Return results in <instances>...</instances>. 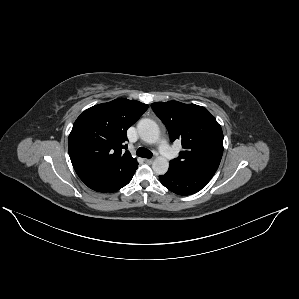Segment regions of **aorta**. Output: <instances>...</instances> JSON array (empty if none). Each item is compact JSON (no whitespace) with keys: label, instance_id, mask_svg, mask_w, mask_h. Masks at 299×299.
I'll list each match as a JSON object with an SVG mask.
<instances>
[{"label":"aorta","instance_id":"aorta-1","mask_svg":"<svg viewBox=\"0 0 299 299\" xmlns=\"http://www.w3.org/2000/svg\"><path fill=\"white\" fill-rule=\"evenodd\" d=\"M137 131L140 138L149 143L155 144L160 139V130L158 125L151 119H142L138 122ZM169 168V162L164 157H157L152 163L153 171L158 175H164Z\"/></svg>","mask_w":299,"mask_h":299}]
</instances>
